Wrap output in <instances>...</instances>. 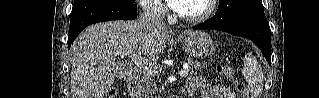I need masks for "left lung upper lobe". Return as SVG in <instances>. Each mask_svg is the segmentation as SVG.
<instances>
[{
  "label": "left lung upper lobe",
  "mask_w": 319,
  "mask_h": 98,
  "mask_svg": "<svg viewBox=\"0 0 319 98\" xmlns=\"http://www.w3.org/2000/svg\"><path fill=\"white\" fill-rule=\"evenodd\" d=\"M257 13H264L261 0H219V8L206 24L216 25L236 22Z\"/></svg>",
  "instance_id": "1"
}]
</instances>
